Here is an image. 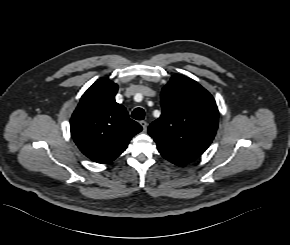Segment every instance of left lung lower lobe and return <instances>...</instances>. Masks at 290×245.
<instances>
[{
	"label": "left lung lower lobe",
	"mask_w": 290,
	"mask_h": 245,
	"mask_svg": "<svg viewBox=\"0 0 290 245\" xmlns=\"http://www.w3.org/2000/svg\"><path fill=\"white\" fill-rule=\"evenodd\" d=\"M165 158V157H164ZM167 160H169L170 162H172V163H174V164H176V165H180V166H183V165H185V163H182V162H178V161H173V160H170V159H168V158H166Z\"/></svg>",
	"instance_id": "obj_1"
}]
</instances>
